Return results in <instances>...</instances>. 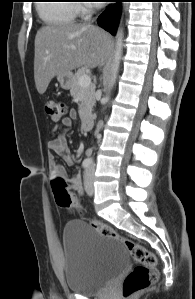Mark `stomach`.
Listing matches in <instances>:
<instances>
[{
    "label": "stomach",
    "mask_w": 195,
    "mask_h": 299,
    "mask_svg": "<svg viewBox=\"0 0 195 299\" xmlns=\"http://www.w3.org/2000/svg\"><path fill=\"white\" fill-rule=\"evenodd\" d=\"M73 74L72 72L65 73V74H60L57 75V80L60 83V86L67 90L71 88L72 82H73Z\"/></svg>",
    "instance_id": "stomach-1"
}]
</instances>
